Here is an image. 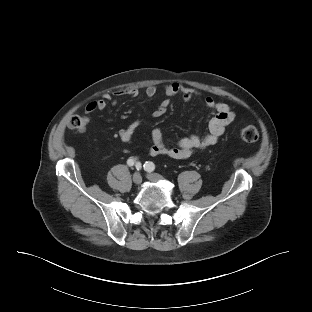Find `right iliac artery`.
I'll use <instances>...</instances> for the list:
<instances>
[{"instance_id": "right-iliac-artery-1", "label": "right iliac artery", "mask_w": 312, "mask_h": 312, "mask_svg": "<svg viewBox=\"0 0 312 312\" xmlns=\"http://www.w3.org/2000/svg\"><path fill=\"white\" fill-rule=\"evenodd\" d=\"M127 164L130 167L135 165L137 170H140L142 168L141 163L140 162H136L135 159H133V158H129L127 160Z\"/></svg>"}]
</instances>
